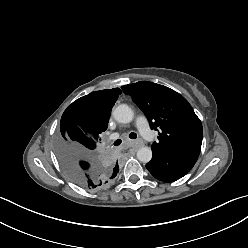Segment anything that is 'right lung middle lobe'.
I'll return each instance as SVG.
<instances>
[{"mask_svg":"<svg viewBox=\"0 0 248 248\" xmlns=\"http://www.w3.org/2000/svg\"><path fill=\"white\" fill-rule=\"evenodd\" d=\"M80 138L81 136L72 128H60L57 138V151L61 165L67 176L81 187L103 189L112 182L116 175H113L100 158L66 146L67 142L71 140L80 141ZM61 152L65 154L63 155Z\"/></svg>","mask_w":248,"mask_h":248,"instance_id":"right-lung-middle-lobe-1","label":"right lung middle lobe"}]
</instances>
